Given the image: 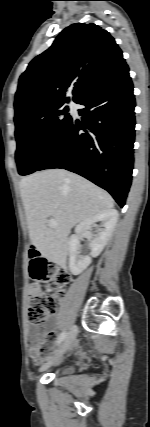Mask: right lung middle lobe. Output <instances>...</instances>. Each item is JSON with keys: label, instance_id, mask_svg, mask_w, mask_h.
<instances>
[{"label": "right lung middle lobe", "instance_id": "obj_1", "mask_svg": "<svg viewBox=\"0 0 150 427\" xmlns=\"http://www.w3.org/2000/svg\"><path fill=\"white\" fill-rule=\"evenodd\" d=\"M73 121L68 107L36 110L15 121L16 162L20 175L37 170Z\"/></svg>", "mask_w": 150, "mask_h": 427}]
</instances>
